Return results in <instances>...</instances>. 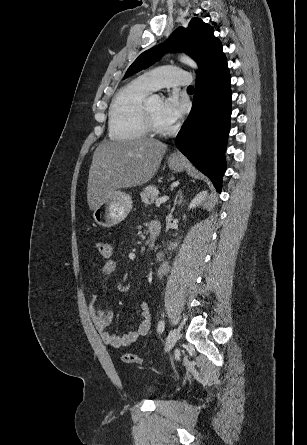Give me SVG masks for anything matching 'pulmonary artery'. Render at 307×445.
Listing matches in <instances>:
<instances>
[{
    "label": "pulmonary artery",
    "instance_id": "pulmonary-artery-1",
    "mask_svg": "<svg viewBox=\"0 0 307 445\" xmlns=\"http://www.w3.org/2000/svg\"><path fill=\"white\" fill-rule=\"evenodd\" d=\"M142 77L144 80H147L153 89L162 85L192 83V76L188 75L187 69L175 66H167L164 69H148L143 72Z\"/></svg>",
    "mask_w": 307,
    "mask_h": 445
}]
</instances>
